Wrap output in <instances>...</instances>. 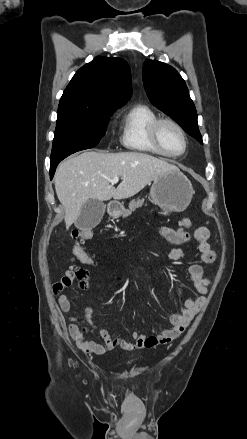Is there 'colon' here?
Segmentation results:
<instances>
[{"label": "colon", "mask_w": 247, "mask_h": 439, "mask_svg": "<svg viewBox=\"0 0 247 439\" xmlns=\"http://www.w3.org/2000/svg\"><path fill=\"white\" fill-rule=\"evenodd\" d=\"M191 226V220L188 218L180 221V231H184ZM93 234L89 229H75L72 231L71 239L73 241L72 252L75 257L85 265H91L93 263L92 258L82 249V245L91 240ZM73 274L79 280V284L82 288H86L88 284L89 272L83 267H73Z\"/></svg>", "instance_id": "obj_1"}]
</instances>
